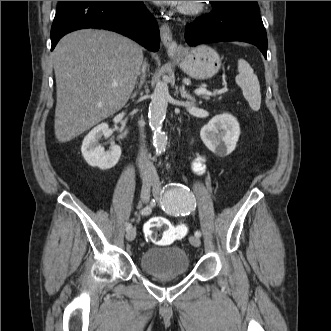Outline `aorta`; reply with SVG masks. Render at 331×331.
<instances>
[{"label": "aorta", "mask_w": 331, "mask_h": 331, "mask_svg": "<svg viewBox=\"0 0 331 331\" xmlns=\"http://www.w3.org/2000/svg\"><path fill=\"white\" fill-rule=\"evenodd\" d=\"M168 85L164 81L156 84L152 100L149 105V124L153 131V141L157 153L165 151L167 145V136L162 131L163 121L166 116L168 100Z\"/></svg>", "instance_id": "762f6f07"}]
</instances>
